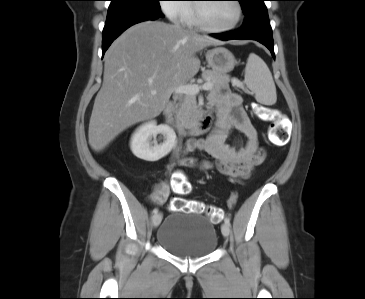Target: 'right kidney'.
Returning a JSON list of instances; mask_svg holds the SVG:
<instances>
[{
  "mask_svg": "<svg viewBox=\"0 0 365 299\" xmlns=\"http://www.w3.org/2000/svg\"><path fill=\"white\" fill-rule=\"evenodd\" d=\"M161 134L163 142L158 144L155 137ZM152 138L154 140L152 141ZM176 144V134L167 125H157L155 121L141 125L132 135L130 147L132 153L145 161H158L168 155Z\"/></svg>",
  "mask_w": 365,
  "mask_h": 299,
  "instance_id": "right-kidney-1",
  "label": "right kidney"
}]
</instances>
